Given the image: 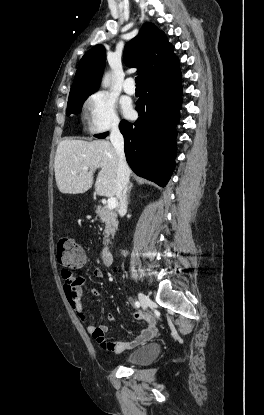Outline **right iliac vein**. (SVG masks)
Returning <instances> with one entry per match:
<instances>
[{"mask_svg": "<svg viewBox=\"0 0 264 415\" xmlns=\"http://www.w3.org/2000/svg\"><path fill=\"white\" fill-rule=\"evenodd\" d=\"M139 300L141 302L143 310H146L148 305L150 304V299L144 293H139Z\"/></svg>", "mask_w": 264, "mask_h": 415, "instance_id": "right-iliac-vein-1", "label": "right iliac vein"}]
</instances>
